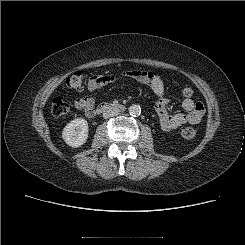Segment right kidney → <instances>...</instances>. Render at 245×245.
I'll list each match as a JSON object with an SVG mask.
<instances>
[{
    "mask_svg": "<svg viewBox=\"0 0 245 245\" xmlns=\"http://www.w3.org/2000/svg\"><path fill=\"white\" fill-rule=\"evenodd\" d=\"M62 138L69 146L77 148L88 139V123L83 118L70 121L62 131Z\"/></svg>",
    "mask_w": 245,
    "mask_h": 245,
    "instance_id": "ca27d5eb",
    "label": "right kidney"
}]
</instances>
